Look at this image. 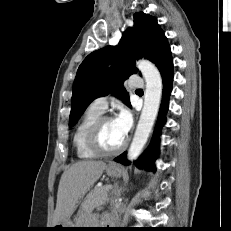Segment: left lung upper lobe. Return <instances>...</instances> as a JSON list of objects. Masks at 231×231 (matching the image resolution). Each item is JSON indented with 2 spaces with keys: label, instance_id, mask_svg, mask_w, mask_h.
I'll use <instances>...</instances> for the list:
<instances>
[{
  "label": "left lung upper lobe",
  "instance_id": "obj_1",
  "mask_svg": "<svg viewBox=\"0 0 231 231\" xmlns=\"http://www.w3.org/2000/svg\"><path fill=\"white\" fill-rule=\"evenodd\" d=\"M167 40L157 19L143 12L134 14V27L124 32L117 46H106L89 54L78 68L73 84L69 126L75 125L96 98L116 94L130 106L123 82L137 73L136 59L153 61Z\"/></svg>",
  "mask_w": 231,
  "mask_h": 231
}]
</instances>
